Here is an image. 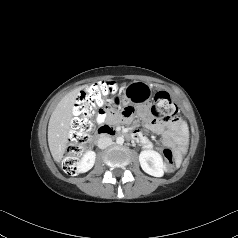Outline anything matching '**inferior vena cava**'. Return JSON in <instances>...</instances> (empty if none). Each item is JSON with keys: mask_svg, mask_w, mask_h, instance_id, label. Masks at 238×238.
Returning <instances> with one entry per match:
<instances>
[{"mask_svg": "<svg viewBox=\"0 0 238 238\" xmlns=\"http://www.w3.org/2000/svg\"><path fill=\"white\" fill-rule=\"evenodd\" d=\"M111 144H112V139L108 136L100 137L98 140V143H97V145L100 149H105L108 146H110Z\"/></svg>", "mask_w": 238, "mask_h": 238, "instance_id": "602c4592", "label": "inferior vena cava"}]
</instances>
